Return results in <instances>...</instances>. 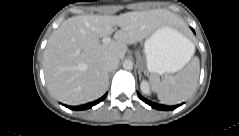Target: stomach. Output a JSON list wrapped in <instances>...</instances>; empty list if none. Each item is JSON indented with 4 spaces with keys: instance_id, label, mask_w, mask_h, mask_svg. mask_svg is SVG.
Masks as SVG:
<instances>
[{
    "instance_id": "1",
    "label": "stomach",
    "mask_w": 239,
    "mask_h": 136,
    "mask_svg": "<svg viewBox=\"0 0 239 136\" xmlns=\"http://www.w3.org/2000/svg\"><path fill=\"white\" fill-rule=\"evenodd\" d=\"M191 46L178 25L168 23L159 27L144 44L148 71L160 75L181 70L189 61Z\"/></svg>"
}]
</instances>
